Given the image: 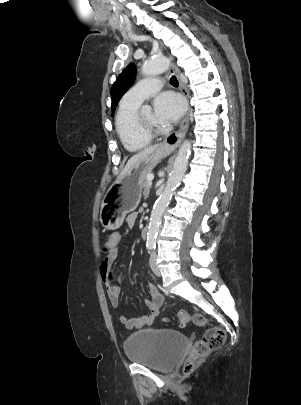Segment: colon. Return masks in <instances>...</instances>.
<instances>
[{
    "label": "colon",
    "instance_id": "colon-1",
    "mask_svg": "<svg viewBox=\"0 0 301 405\" xmlns=\"http://www.w3.org/2000/svg\"><path fill=\"white\" fill-rule=\"evenodd\" d=\"M110 228V227H109ZM107 238H111L113 233L110 230H107L105 233ZM105 250H107V242L105 244ZM177 319L179 322L184 325L190 321L191 317L185 310H180L177 314ZM193 322L198 326H204L206 320L203 315L195 314L192 316ZM225 341V332L220 327H211L206 330L202 339L197 340L188 355L187 360L183 365V372L184 374H190L195 366L196 363L206 357L211 351L217 350L222 347Z\"/></svg>",
    "mask_w": 301,
    "mask_h": 405
}]
</instances>
